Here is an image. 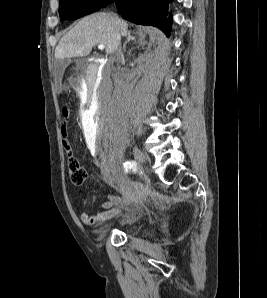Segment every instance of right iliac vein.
Segmentation results:
<instances>
[{
	"label": "right iliac vein",
	"instance_id": "63e3f726",
	"mask_svg": "<svg viewBox=\"0 0 267 298\" xmlns=\"http://www.w3.org/2000/svg\"><path fill=\"white\" fill-rule=\"evenodd\" d=\"M134 155H135V158H136L139 166H142L147 160L146 155L138 148L134 149Z\"/></svg>",
	"mask_w": 267,
	"mask_h": 298
}]
</instances>
